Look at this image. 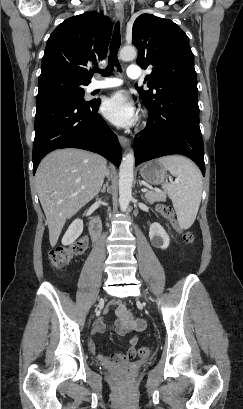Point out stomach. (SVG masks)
<instances>
[{
	"mask_svg": "<svg viewBox=\"0 0 243 409\" xmlns=\"http://www.w3.org/2000/svg\"><path fill=\"white\" fill-rule=\"evenodd\" d=\"M140 175L147 183L159 185L164 183L167 178V169L159 160H152L142 166Z\"/></svg>",
	"mask_w": 243,
	"mask_h": 409,
	"instance_id": "stomach-1",
	"label": "stomach"
}]
</instances>
